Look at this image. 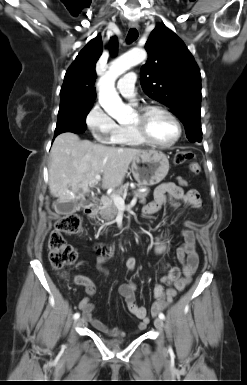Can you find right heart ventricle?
Listing matches in <instances>:
<instances>
[{"mask_svg": "<svg viewBox=\"0 0 247 385\" xmlns=\"http://www.w3.org/2000/svg\"><path fill=\"white\" fill-rule=\"evenodd\" d=\"M115 144L140 146L143 142L137 137L129 125H119L115 137Z\"/></svg>", "mask_w": 247, "mask_h": 385, "instance_id": "e07e8e85", "label": "right heart ventricle"}]
</instances>
